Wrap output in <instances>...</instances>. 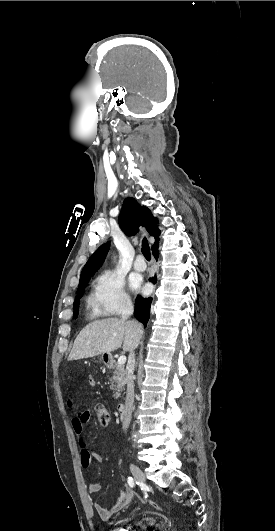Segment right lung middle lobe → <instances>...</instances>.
<instances>
[{"instance_id":"1","label":"right lung middle lobe","mask_w":275,"mask_h":531,"mask_svg":"<svg viewBox=\"0 0 275 531\" xmlns=\"http://www.w3.org/2000/svg\"><path fill=\"white\" fill-rule=\"evenodd\" d=\"M87 283H88V281H86L84 284H82L77 290V296H76L75 301H74V315H73L74 318H77V316H78L79 302H80L79 300H80V298L82 297V295L84 293V288H85Z\"/></svg>"}]
</instances>
